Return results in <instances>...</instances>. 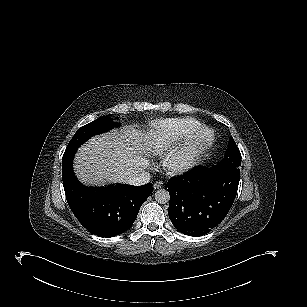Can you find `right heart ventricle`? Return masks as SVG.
<instances>
[{"mask_svg":"<svg viewBox=\"0 0 307 307\" xmlns=\"http://www.w3.org/2000/svg\"><path fill=\"white\" fill-rule=\"evenodd\" d=\"M196 128L197 122L192 118L161 120L152 132L153 146L159 152L171 151L191 139Z\"/></svg>","mask_w":307,"mask_h":307,"instance_id":"e07e8e85","label":"right heart ventricle"}]
</instances>
